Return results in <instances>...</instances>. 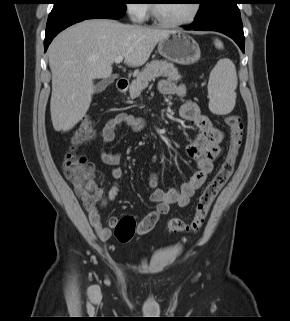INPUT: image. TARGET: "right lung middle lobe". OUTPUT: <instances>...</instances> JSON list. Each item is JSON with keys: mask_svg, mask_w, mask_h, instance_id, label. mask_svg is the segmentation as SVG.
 <instances>
[{"mask_svg": "<svg viewBox=\"0 0 290 321\" xmlns=\"http://www.w3.org/2000/svg\"><path fill=\"white\" fill-rule=\"evenodd\" d=\"M52 14L60 12L101 13L125 11L126 0H53Z\"/></svg>", "mask_w": 290, "mask_h": 321, "instance_id": "1", "label": "right lung middle lobe"}]
</instances>
